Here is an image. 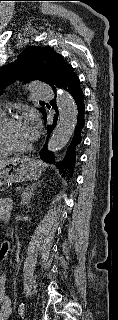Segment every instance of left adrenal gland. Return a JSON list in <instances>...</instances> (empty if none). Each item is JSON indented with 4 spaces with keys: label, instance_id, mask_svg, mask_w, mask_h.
Masks as SVG:
<instances>
[{
    "label": "left adrenal gland",
    "instance_id": "1",
    "mask_svg": "<svg viewBox=\"0 0 118 320\" xmlns=\"http://www.w3.org/2000/svg\"><path fill=\"white\" fill-rule=\"evenodd\" d=\"M40 186H41V181H38L37 183H32L31 185L27 186L21 194L22 202L24 203L28 201L32 197L37 187H40Z\"/></svg>",
    "mask_w": 118,
    "mask_h": 320
}]
</instances>
